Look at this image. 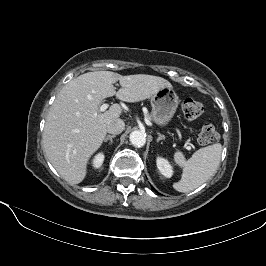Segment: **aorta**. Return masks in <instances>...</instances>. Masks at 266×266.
<instances>
[{"instance_id":"1","label":"aorta","mask_w":266,"mask_h":266,"mask_svg":"<svg viewBox=\"0 0 266 266\" xmlns=\"http://www.w3.org/2000/svg\"><path fill=\"white\" fill-rule=\"evenodd\" d=\"M130 142L136 147H142L146 143V135L141 131H133L130 133Z\"/></svg>"}]
</instances>
